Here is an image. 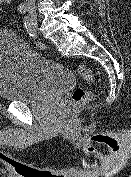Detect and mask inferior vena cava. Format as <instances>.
<instances>
[{
    "label": "inferior vena cava",
    "mask_w": 131,
    "mask_h": 177,
    "mask_svg": "<svg viewBox=\"0 0 131 177\" xmlns=\"http://www.w3.org/2000/svg\"><path fill=\"white\" fill-rule=\"evenodd\" d=\"M26 2L28 6H31V7L35 6V0H26Z\"/></svg>",
    "instance_id": "1"
}]
</instances>
